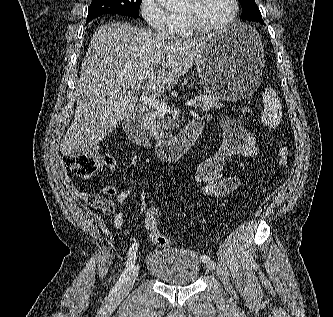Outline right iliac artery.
I'll return each mask as SVG.
<instances>
[{
  "label": "right iliac artery",
  "mask_w": 333,
  "mask_h": 317,
  "mask_svg": "<svg viewBox=\"0 0 333 317\" xmlns=\"http://www.w3.org/2000/svg\"><path fill=\"white\" fill-rule=\"evenodd\" d=\"M137 243H134L128 253V260H127V265L124 270V272L121 274L120 278L116 282L115 286L112 289V293H117V291L125 284V282L128 280L132 269L134 267V263L136 260V252H137Z\"/></svg>",
  "instance_id": "1"
}]
</instances>
